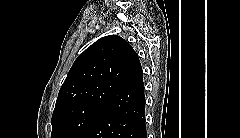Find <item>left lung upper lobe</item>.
<instances>
[{
    "label": "left lung upper lobe",
    "instance_id": "5c2ea615",
    "mask_svg": "<svg viewBox=\"0 0 240 138\" xmlns=\"http://www.w3.org/2000/svg\"><path fill=\"white\" fill-rule=\"evenodd\" d=\"M137 58L131 45L115 35L81 53L60 88L51 138H86Z\"/></svg>",
    "mask_w": 240,
    "mask_h": 138
}]
</instances>
